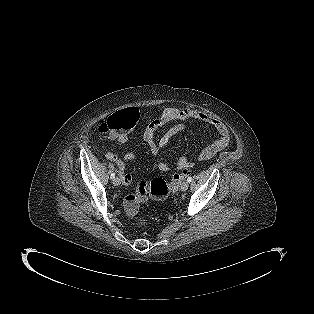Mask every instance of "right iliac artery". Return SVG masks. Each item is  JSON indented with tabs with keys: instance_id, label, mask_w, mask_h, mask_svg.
<instances>
[{
	"instance_id": "obj_1",
	"label": "right iliac artery",
	"mask_w": 314,
	"mask_h": 314,
	"mask_svg": "<svg viewBox=\"0 0 314 314\" xmlns=\"http://www.w3.org/2000/svg\"><path fill=\"white\" fill-rule=\"evenodd\" d=\"M111 179H114L115 178V172H113L110 176Z\"/></svg>"
}]
</instances>
